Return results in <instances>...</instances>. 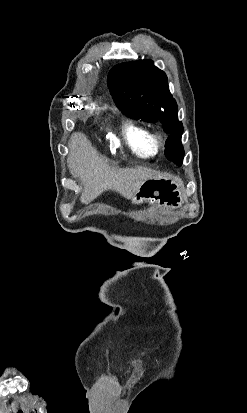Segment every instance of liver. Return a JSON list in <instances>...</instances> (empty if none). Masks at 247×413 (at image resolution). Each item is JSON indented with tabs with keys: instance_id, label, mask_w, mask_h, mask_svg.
I'll use <instances>...</instances> for the list:
<instances>
[{
	"instance_id": "liver-1",
	"label": "liver",
	"mask_w": 247,
	"mask_h": 413,
	"mask_svg": "<svg viewBox=\"0 0 247 413\" xmlns=\"http://www.w3.org/2000/svg\"><path fill=\"white\" fill-rule=\"evenodd\" d=\"M67 158L69 170L83 184L81 202L89 204L104 190H115L125 198H132L147 178L160 176L157 170L147 166L113 168L106 158L99 156L83 132H74L70 138Z\"/></svg>"
}]
</instances>
